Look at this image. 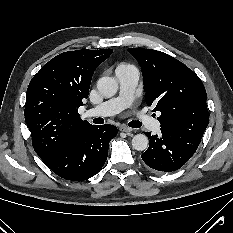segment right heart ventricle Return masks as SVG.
<instances>
[{
  "mask_svg": "<svg viewBox=\"0 0 233 233\" xmlns=\"http://www.w3.org/2000/svg\"><path fill=\"white\" fill-rule=\"evenodd\" d=\"M127 66H129V65L122 64V65H119L117 68H119V67H127Z\"/></svg>",
  "mask_w": 233,
  "mask_h": 233,
  "instance_id": "1",
  "label": "right heart ventricle"
}]
</instances>
